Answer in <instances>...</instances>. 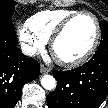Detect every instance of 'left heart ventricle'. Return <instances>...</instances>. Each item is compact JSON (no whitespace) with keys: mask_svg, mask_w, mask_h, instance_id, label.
Segmentation results:
<instances>
[{"mask_svg":"<svg viewBox=\"0 0 108 108\" xmlns=\"http://www.w3.org/2000/svg\"><path fill=\"white\" fill-rule=\"evenodd\" d=\"M95 33V23L91 17L77 18L57 41L55 55L66 60L80 57L91 46Z\"/></svg>","mask_w":108,"mask_h":108,"instance_id":"left-heart-ventricle-1","label":"left heart ventricle"}]
</instances>
